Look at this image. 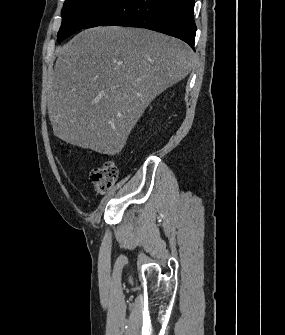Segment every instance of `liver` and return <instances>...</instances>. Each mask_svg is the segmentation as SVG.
Listing matches in <instances>:
<instances>
[{
  "label": "liver",
  "mask_w": 285,
  "mask_h": 335,
  "mask_svg": "<svg viewBox=\"0 0 285 335\" xmlns=\"http://www.w3.org/2000/svg\"><path fill=\"white\" fill-rule=\"evenodd\" d=\"M58 56L48 86L54 136L115 156L147 106L193 66L187 44L141 28H90Z\"/></svg>",
  "instance_id": "1"
}]
</instances>
